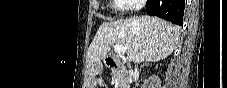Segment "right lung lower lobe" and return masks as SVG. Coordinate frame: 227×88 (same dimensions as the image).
<instances>
[{
	"label": "right lung lower lobe",
	"instance_id": "98d812e1",
	"mask_svg": "<svg viewBox=\"0 0 227 88\" xmlns=\"http://www.w3.org/2000/svg\"><path fill=\"white\" fill-rule=\"evenodd\" d=\"M185 0H148L146 3L147 13L171 21L179 26L182 25Z\"/></svg>",
	"mask_w": 227,
	"mask_h": 88
}]
</instances>
